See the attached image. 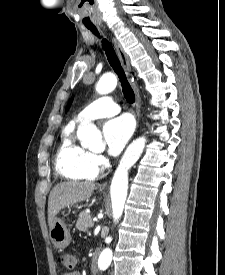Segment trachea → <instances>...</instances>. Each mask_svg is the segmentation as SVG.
<instances>
[{
	"instance_id": "1",
	"label": "trachea",
	"mask_w": 225,
	"mask_h": 275,
	"mask_svg": "<svg viewBox=\"0 0 225 275\" xmlns=\"http://www.w3.org/2000/svg\"><path fill=\"white\" fill-rule=\"evenodd\" d=\"M88 29L93 34L98 35V31L95 27H88ZM102 46L106 52V56H107V59H108L110 65L112 66V68L114 69V71L116 72V74L118 75V77L120 79L124 97L126 98V100L129 103H134V101H135L134 92L126 78L125 72L119 62L118 57L115 54V51H114L112 45L106 39H103Z\"/></svg>"
}]
</instances>
